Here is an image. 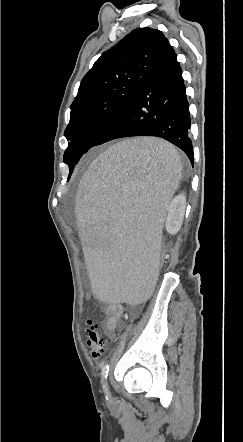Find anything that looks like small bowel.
I'll return each instance as SVG.
<instances>
[{"label":"small bowel","mask_w":243,"mask_h":442,"mask_svg":"<svg viewBox=\"0 0 243 442\" xmlns=\"http://www.w3.org/2000/svg\"><path fill=\"white\" fill-rule=\"evenodd\" d=\"M122 313H123V308L118 304H112L107 308L105 312L106 314L105 330L109 337L114 336L118 326V321L121 318Z\"/></svg>","instance_id":"1"}]
</instances>
